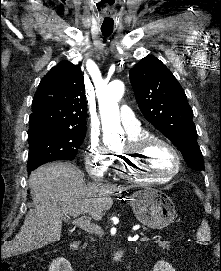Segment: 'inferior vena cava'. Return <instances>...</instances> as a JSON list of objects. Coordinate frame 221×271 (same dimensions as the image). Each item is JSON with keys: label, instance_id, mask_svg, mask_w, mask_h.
Returning <instances> with one entry per match:
<instances>
[{"label": "inferior vena cava", "instance_id": "1", "mask_svg": "<svg viewBox=\"0 0 221 271\" xmlns=\"http://www.w3.org/2000/svg\"><path fill=\"white\" fill-rule=\"evenodd\" d=\"M96 183H98V181H102V179H95Z\"/></svg>", "mask_w": 221, "mask_h": 271}]
</instances>
